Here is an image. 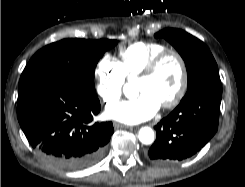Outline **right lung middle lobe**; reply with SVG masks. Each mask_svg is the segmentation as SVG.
<instances>
[{
    "label": "right lung middle lobe",
    "mask_w": 245,
    "mask_h": 187,
    "mask_svg": "<svg viewBox=\"0 0 245 187\" xmlns=\"http://www.w3.org/2000/svg\"><path fill=\"white\" fill-rule=\"evenodd\" d=\"M116 40L64 39L39 50L25 67L19 88L39 81H59L95 93L99 58Z\"/></svg>",
    "instance_id": "right-lung-middle-lobe-1"
}]
</instances>
